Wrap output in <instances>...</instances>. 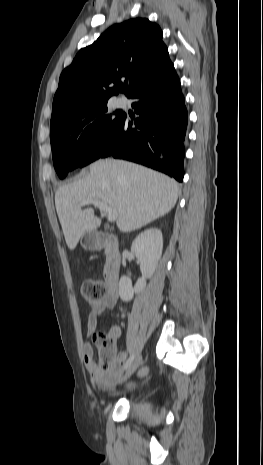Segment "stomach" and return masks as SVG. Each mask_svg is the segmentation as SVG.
<instances>
[{
    "mask_svg": "<svg viewBox=\"0 0 263 465\" xmlns=\"http://www.w3.org/2000/svg\"><path fill=\"white\" fill-rule=\"evenodd\" d=\"M80 244L85 249H88V250L95 249L98 244L96 234L92 232H85L81 237Z\"/></svg>",
    "mask_w": 263,
    "mask_h": 465,
    "instance_id": "1",
    "label": "stomach"
}]
</instances>
